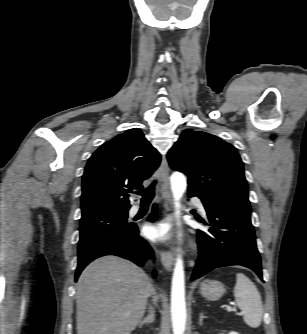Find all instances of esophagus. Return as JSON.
Instances as JSON below:
<instances>
[{"mask_svg": "<svg viewBox=\"0 0 307 334\" xmlns=\"http://www.w3.org/2000/svg\"><path fill=\"white\" fill-rule=\"evenodd\" d=\"M161 188L160 193L163 199V208L165 214V220L171 222L170 205H171V193L169 184V165L165 156L162 158L160 166ZM160 258L163 266L166 270L170 271L174 263V255L172 250H163L160 252Z\"/></svg>", "mask_w": 307, "mask_h": 334, "instance_id": "1", "label": "esophagus"}]
</instances>
